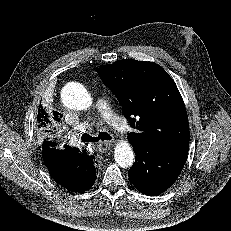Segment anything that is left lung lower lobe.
I'll return each mask as SVG.
<instances>
[{
	"mask_svg": "<svg viewBox=\"0 0 231 231\" xmlns=\"http://www.w3.org/2000/svg\"><path fill=\"white\" fill-rule=\"evenodd\" d=\"M136 159L128 175L133 185L148 196L167 190L178 178L187 156H170L142 146L133 147Z\"/></svg>",
	"mask_w": 231,
	"mask_h": 231,
	"instance_id": "left-lung-lower-lobe-1",
	"label": "left lung lower lobe"
}]
</instances>
